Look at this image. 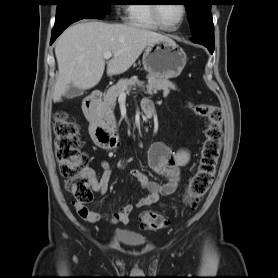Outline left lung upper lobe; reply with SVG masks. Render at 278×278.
Instances as JSON below:
<instances>
[{"mask_svg": "<svg viewBox=\"0 0 278 278\" xmlns=\"http://www.w3.org/2000/svg\"><path fill=\"white\" fill-rule=\"evenodd\" d=\"M212 0H186L188 19L196 42L214 46V25L210 14Z\"/></svg>", "mask_w": 278, "mask_h": 278, "instance_id": "1", "label": "left lung upper lobe"}]
</instances>
